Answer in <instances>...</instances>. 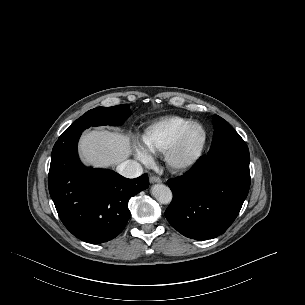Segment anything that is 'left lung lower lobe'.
Listing matches in <instances>:
<instances>
[{
    "label": "left lung lower lobe",
    "mask_w": 305,
    "mask_h": 305,
    "mask_svg": "<svg viewBox=\"0 0 305 305\" xmlns=\"http://www.w3.org/2000/svg\"><path fill=\"white\" fill-rule=\"evenodd\" d=\"M173 199L165 216L182 235L206 240L233 223L250 187L249 152L202 156L184 175L167 181Z\"/></svg>",
    "instance_id": "left-lung-lower-lobe-1"
}]
</instances>
